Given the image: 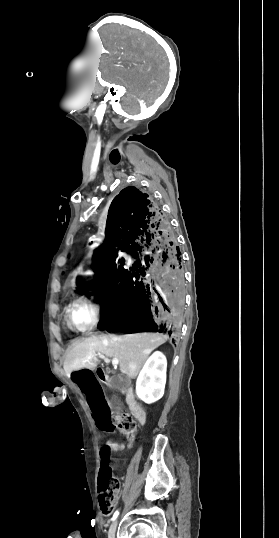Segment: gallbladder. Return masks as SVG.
<instances>
[{"label": "gallbladder", "mask_w": 279, "mask_h": 538, "mask_svg": "<svg viewBox=\"0 0 279 538\" xmlns=\"http://www.w3.org/2000/svg\"><path fill=\"white\" fill-rule=\"evenodd\" d=\"M111 384L114 388H116V386L127 387L129 385V378L127 376H113ZM111 402L113 403V408L115 410H122L124 408V401L118 399L117 396H112Z\"/></svg>", "instance_id": "1"}]
</instances>
